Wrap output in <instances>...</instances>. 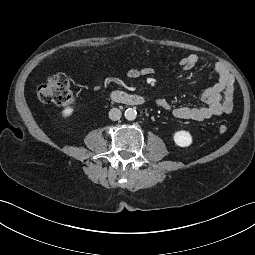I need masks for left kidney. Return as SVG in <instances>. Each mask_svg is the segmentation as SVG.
<instances>
[{
    "label": "left kidney",
    "mask_w": 255,
    "mask_h": 255,
    "mask_svg": "<svg viewBox=\"0 0 255 255\" xmlns=\"http://www.w3.org/2000/svg\"><path fill=\"white\" fill-rule=\"evenodd\" d=\"M174 142L180 147H188L192 144V136L188 131H177L173 136Z\"/></svg>",
    "instance_id": "1"
}]
</instances>
